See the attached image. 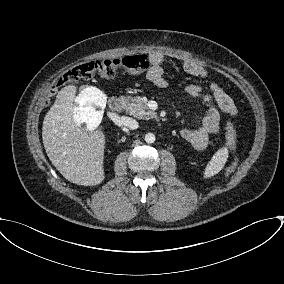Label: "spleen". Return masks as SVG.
<instances>
[{
    "label": "spleen",
    "mask_w": 284,
    "mask_h": 284,
    "mask_svg": "<svg viewBox=\"0 0 284 284\" xmlns=\"http://www.w3.org/2000/svg\"><path fill=\"white\" fill-rule=\"evenodd\" d=\"M228 154L229 151L226 147L219 149L208 162L204 171V178H210L219 173L227 161Z\"/></svg>",
    "instance_id": "obj_1"
}]
</instances>
